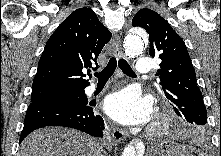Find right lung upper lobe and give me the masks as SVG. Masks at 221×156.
Instances as JSON below:
<instances>
[{
	"mask_svg": "<svg viewBox=\"0 0 221 156\" xmlns=\"http://www.w3.org/2000/svg\"><path fill=\"white\" fill-rule=\"evenodd\" d=\"M111 36L90 8L71 13L46 43L33 80L31 101L89 86L84 73L91 78V65H97L96 59Z\"/></svg>",
	"mask_w": 221,
	"mask_h": 156,
	"instance_id": "cb5924a9",
	"label": "right lung upper lobe"
}]
</instances>
